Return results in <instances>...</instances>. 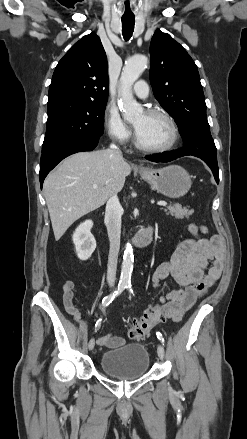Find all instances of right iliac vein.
I'll return each mask as SVG.
<instances>
[{"label":"right iliac vein","instance_id":"right-iliac-vein-1","mask_svg":"<svg viewBox=\"0 0 247 439\" xmlns=\"http://www.w3.org/2000/svg\"><path fill=\"white\" fill-rule=\"evenodd\" d=\"M94 346H95V340H94V338H91L89 343H88L89 350H93Z\"/></svg>","mask_w":247,"mask_h":439}]
</instances>
